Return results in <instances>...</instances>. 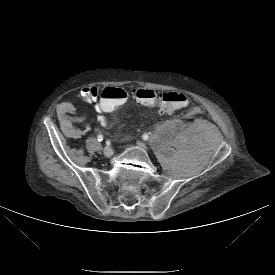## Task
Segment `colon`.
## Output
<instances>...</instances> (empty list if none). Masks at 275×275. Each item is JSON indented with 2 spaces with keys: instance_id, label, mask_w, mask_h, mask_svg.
<instances>
[{
  "instance_id": "colon-1",
  "label": "colon",
  "mask_w": 275,
  "mask_h": 275,
  "mask_svg": "<svg viewBox=\"0 0 275 275\" xmlns=\"http://www.w3.org/2000/svg\"><path fill=\"white\" fill-rule=\"evenodd\" d=\"M129 95L141 105H158L166 113L185 107L188 103L187 96L180 92H157L145 88H133L128 92L123 88L109 87L101 92L97 101L99 113L105 116L111 114Z\"/></svg>"
}]
</instances>
